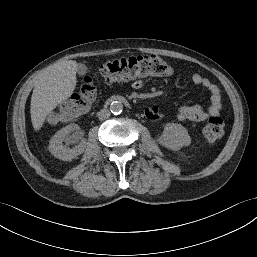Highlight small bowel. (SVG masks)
<instances>
[{"label": "small bowel", "mask_w": 257, "mask_h": 257, "mask_svg": "<svg viewBox=\"0 0 257 257\" xmlns=\"http://www.w3.org/2000/svg\"><path fill=\"white\" fill-rule=\"evenodd\" d=\"M190 83L201 86L209 92V105L204 107L200 104H188L179 107L175 116L180 121L201 122L210 116H217L222 109V101L219 88L208 78L198 73H192L188 77ZM142 82L137 80L133 82L134 88H140ZM145 115L150 120H159L163 117V109L158 106H152L145 110Z\"/></svg>", "instance_id": "c3829d8e"}]
</instances>
